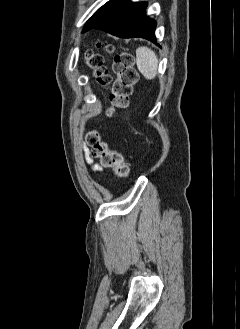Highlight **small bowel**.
<instances>
[{
	"instance_id": "small-bowel-1",
	"label": "small bowel",
	"mask_w": 240,
	"mask_h": 329,
	"mask_svg": "<svg viewBox=\"0 0 240 329\" xmlns=\"http://www.w3.org/2000/svg\"><path fill=\"white\" fill-rule=\"evenodd\" d=\"M86 161L88 164H90L92 166V169L94 171H99L101 168L99 167L98 164H96L93 159L89 156L88 152H86Z\"/></svg>"
}]
</instances>
